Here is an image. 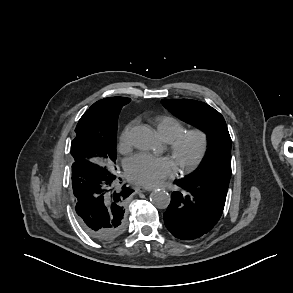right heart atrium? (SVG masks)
Wrapping results in <instances>:
<instances>
[{"label": "right heart atrium", "mask_w": 293, "mask_h": 293, "mask_svg": "<svg viewBox=\"0 0 293 293\" xmlns=\"http://www.w3.org/2000/svg\"><path fill=\"white\" fill-rule=\"evenodd\" d=\"M137 124L136 120H133L129 122L121 132L119 136V150L123 153H126L131 148V131L134 128V126Z\"/></svg>", "instance_id": "1"}]
</instances>
